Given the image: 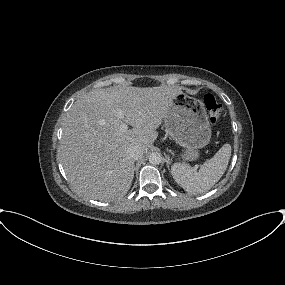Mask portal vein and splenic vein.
Masks as SVG:
<instances>
[{
    "instance_id": "obj_1",
    "label": "portal vein and splenic vein",
    "mask_w": 285,
    "mask_h": 285,
    "mask_svg": "<svg viewBox=\"0 0 285 285\" xmlns=\"http://www.w3.org/2000/svg\"><path fill=\"white\" fill-rule=\"evenodd\" d=\"M116 115H117V117L120 118V119H124V117H125V114H124V112H123L122 110H118V111L116 112ZM127 129H128L127 124H126V123H122V125H121V131L125 132V131H127Z\"/></svg>"
}]
</instances>
